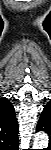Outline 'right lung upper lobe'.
Here are the masks:
<instances>
[{
    "instance_id": "right-lung-upper-lobe-1",
    "label": "right lung upper lobe",
    "mask_w": 51,
    "mask_h": 150,
    "mask_svg": "<svg viewBox=\"0 0 51 150\" xmlns=\"http://www.w3.org/2000/svg\"><path fill=\"white\" fill-rule=\"evenodd\" d=\"M18 123L15 110L6 98H0V146L6 150H16L19 145Z\"/></svg>"
}]
</instances>
